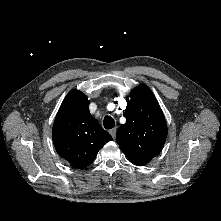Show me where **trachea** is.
<instances>
[{
    "label": "trachea",
    "instance_id": "obj_1",
    "mask_svg": "<svg viewBox=\"0 0 221 221\" xmlns=\"http://www.w3.org/2000/svg\"><path fill=\"white\" fill-rule=\"evenodd\" d=\"M105 129H112L115 126V121L111 116H105L103 120Z\"/></svg>",
    "mask_w": 221,
    "mask_h": 221
}]
</instances>
